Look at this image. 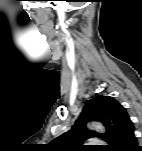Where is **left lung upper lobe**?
Here are the masks:
<instances>
[{
    "label": "left lung upper lobe",
    "instance_id": "1",
    "mask_svg": "<svg viewBox=\"0 0 142 151\" xmlns=\"http://www.w3.org/2000/svg\"><path fill=\"white\" fill-rule=\"evenodd\" d=\"M97 120L103 122L107 133L102 135L108 142L106 150H113L121 137L134 128L126 109L113 97L97 96L86 101L82 113L71 130L50 142L55 151H71L82 147L80 143L88 137L100 136L95 131H89L85 123Z\"/></svg>",
    "mask_w": 142,
    "mask_h": 151
}]
</instances>
